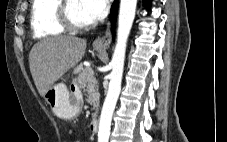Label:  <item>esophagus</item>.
<instances>
[{"label":"esophagus","mask_w":227,"mask_h":142,"mask_svg":"<svg viewBox=\"0 0 227 142\" xmlns=\"http://www.w3.org/2000/svg\"><path fill=\"white\" fill-rule=\"evenodd\" d=\"M112 34L110 31L106 32L102 37L93 42V46L98 49H107L111 43Z\"/></svg>","instance_id":"obj_1"}]
</instances>
